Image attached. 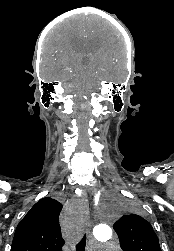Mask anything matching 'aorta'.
<instances>
[{
  "label": "aorta",
  "instance_id": "aorta-1",
  "mask_svg": "<svg viewBox=\"0 0 174 251\" xmlns=\"http://www.w3.org/2000/svg\"><path fill=\"white\" fill-rule=\"evenodd\" d=\"M112 220V213L104 208L99 209V218L95 223L93 229L94 239L97 242L105 243L112 238V228L110 222Z\"/></svg>",
  "mask_w": 174,
  "mask_h": 251
}]
</instances>
